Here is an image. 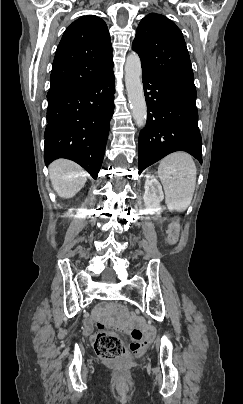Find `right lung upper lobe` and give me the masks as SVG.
Returning a JSON list of instances; mask_svg holds the SVG:
<instances>
[{"label": "right lung upper lobe", "mask_w": 243, "mask_h": 404, "mask_svg": "<svg viewBox=\"0 0 243 404\" xmlns=\"http://www.w3.org/2000/svg\"><path fill=\"white\" fill-rule=\"evenodd\" d=\"M111 39L106 23L82 16L64 32L57 47L47 97L89 84L113 70Z\"/></svg>", "instance_id": "cb5924a9"}]
</instances>
